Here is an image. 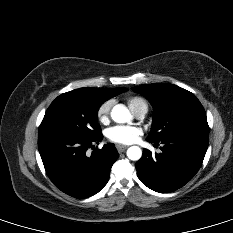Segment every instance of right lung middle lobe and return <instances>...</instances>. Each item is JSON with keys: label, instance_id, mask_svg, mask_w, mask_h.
Returning a JSON list of instances; mask_svg holds the SVG:
<instances>
[{"label": "right lung middle lobe", "instance_id": "dd1d6c3e", "mask_svg": "<svg viewBox=\"0 0 233 233\" xmlns=\"http://www.w3.org/2000/svg\"><path fill=\"white\" fill-rule=\"evenodd\" d=\"M103 101L76 90L58 96L46 110L38 135L63 133L84 138L101 135L98 110Z\"/></svg>", "mask_w": 233, "mask_h": 233}]
</instances>
